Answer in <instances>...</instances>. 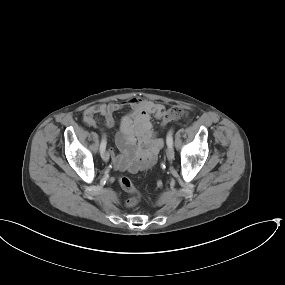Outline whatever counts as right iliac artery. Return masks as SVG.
I'll return each mask as SVG.
<instances>
[{
	"mask_svg": "<svg viewBox=\"0 0 285 285\" xmlns=\"http://www.w3.org/2000/svg\"><path fill=\"white\" fill-rule=\"evenodd\" d=\"M106 144H107L106 137L103 136L102 141H101V144H100V152H101V153L105 150Z\"/></svg>",
	"mask_w": 285,
	"mask_h": 285,
	"instance_id": "right-iliac-artery-1",
	"label": "right iliac artery"
}]
</instances>
